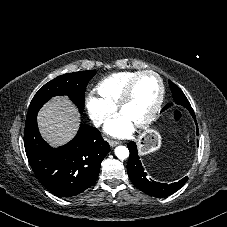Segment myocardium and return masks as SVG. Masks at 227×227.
Returning a JSON list of instances; mask_svg holds the SVG:
<instances>
[{"label":"myocardium","instance_id":"1","mask_svg":"<svg viewBox=\"0 0 227 227\" xmlns=\"http://www.w3.org/2000/svg\"><path fill=\"white\" fill-rule=\"evenodd\" d=\"M144 75H152L153 77L156 78V80L158 81V85H159V91H158L157 99H156L153 107L151 108L149 114L143 120H141L135 124V127H137V128H144V127L148 126L155 119V117L157 116V114L161 108V105H162L163 99H164V93H165L164 83H163L161 76L153 70H143V71L138 72L129 81V83L127 84L125 90L123 91L122 95L120 96V98L116 104L117 111L119 113H121L125 104L133 96L135 87H136L139 79Z\"/></svg>","mask_w":227,"mask_h":227}]
</instances>
